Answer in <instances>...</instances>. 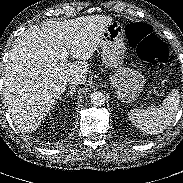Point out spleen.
<instances>
[{
	"mask_svg": "<svg viewBox=\"0 0 183 183\" xmlns=\"http://www.w3.org/2000/svg\"><path fill=\"white\" fill-rule=\"evenodd\" d=\"M179 98L178 89H173L160 107L149 106L146 109H132L128 113V117L144 133L153 135L161 133L171 125L178 111Z\"/></svg>",
	"mask_w": 183,
	"mask_h": 183,
	"instance_id": "spleen-1",
	"label": "spleen"
}]
</instances>
